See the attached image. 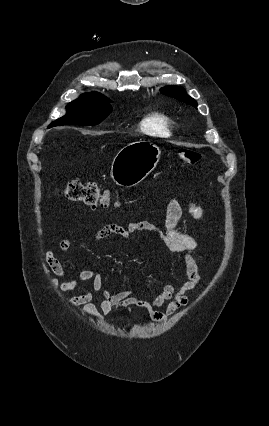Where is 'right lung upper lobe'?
Segmentation results:
<instances>
[{"label": "right lung upper lobe", "mask_w": 269, "mask_h": 426, "mask_svg": "<svg viewBox=\"0 0 269 426\" xmlns=\"http://www.w3.org/2000/svg\"><path fill=\"white\" fill-rule=\"evenodd\" d=\"M81 97H86V98H103V99H107L105 96H103V95H101V94H99V93H97V92H94L93 94L86 93V94L82 95Z\"/></svg>", "instance_id": "cb5924a9"}]
</instances>
